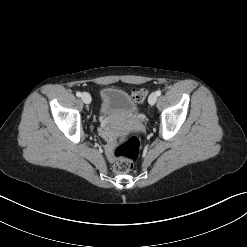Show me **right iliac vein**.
<instances>
[{
    "mask_svg": "<svg viewBox=\"0 0 247 247\" xmlns=\"http://www.w3.org/2000/svg\"><path fill=\"white\" fill-rule=\"evenodd\" d=\"M81 99L82 101L85 103V104H90L91 103V96L89 93H86L84 92L81 96Z\"/></svg>",
    "mask_w": 247,
    "mask_h": 247,
    "instance_id": "1",
    "label": "right iliac vein"
}]
</instances>
